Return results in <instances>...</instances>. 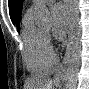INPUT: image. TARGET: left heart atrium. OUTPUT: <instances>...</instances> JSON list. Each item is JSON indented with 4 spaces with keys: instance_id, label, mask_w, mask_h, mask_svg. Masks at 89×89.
Instances as JSON below:
<instances>
[{
    "instance_id": "left-heart-atrium-1",
    "label": "left heart atrium",
    "mask_w": 89,
    "mask_h": 89,
    "mask_svg": "<svg viewBox=\"0 0 89 89\" xmlns=\"http://www.w3.org/2000/svg\"><path fill=\"white\" fill-rule=\"evenodd\" d=\"M52 34L57 40H62L67 32L68 17L65 9L61 5L52 8Z\"/></svg>"
}]
</instances>
